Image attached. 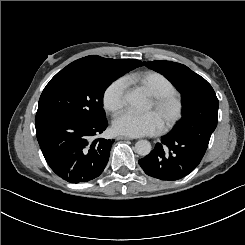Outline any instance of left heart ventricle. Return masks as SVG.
<instances>
[{"mask_svg":"<svg viewBox=\"0 0 245 245\" xmlns=\"http://www.w3.org/2000/svg\"><path fill=\"white\" fill-rule=\"evenodd\" d=\"M152 108V102L150 100V106L149 109ZM168 112V110H164L163 112H156V115L158 116V118L160 119V121H162L163 116Z\"/></svg>","mask_w":245,"mask_h":245,"instance_id":"1","label":"left heart ventricle"}]
</instances>
